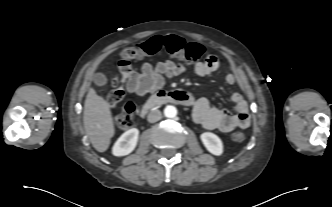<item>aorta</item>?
<instances>
[{"label":"aorta","mask_w":332,"mask_h":207,"mask_svg":"<svg viewBox=\"0 0 332 207\" xmlns=\"http://www.w3.org/2000/svg\"><path fill=\"white\" fill-rule=\"evenodd\" d=\"M164 115L167 118H174L177 115L176 107H174L172 105L166 106L165 109H164Z\"/></svg>","instance_id":"1"}]
</instances>
